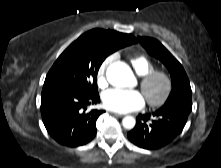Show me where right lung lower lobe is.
<instances>
[{"label": "right lung lower lobe", "mask_w": 221, "mask_h": 168, "mask_svg": "<svg viewBox=\"0 0 221 168\" xmlns=\"http://www.w3.org/2000/svg\"><path fill=\"white\" fill-rule=\"evenodd\" d=\"M100 102L99 94H85L60 86L43 87V123L58 143L75 147L90 142L96 134V121L103 110L85 112L87 105Z\"/></svg>", "instance_id": "obj_1"}]
</instances>
